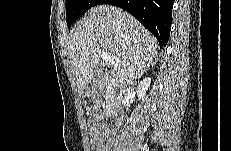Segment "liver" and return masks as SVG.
<instances>
[{
	"mask_svg": "<svg viewBox=\"0 0 231 151\" xmlns=\"http://www.w3.org/2000/svg\"><path fill=\"white\" fill-rule=\"evenodd\" d=\"M158 42L138 20L111 5L93 7L71 30L68 55L80 96L90 84L101 53L114 61V85H125L140 78L157 61Z\"/></svg>",
	"mask_w": 231,
	"mask_h": 151,
	"instance_id": "liver-1",
	"label": "liver"
}]
</instances>
